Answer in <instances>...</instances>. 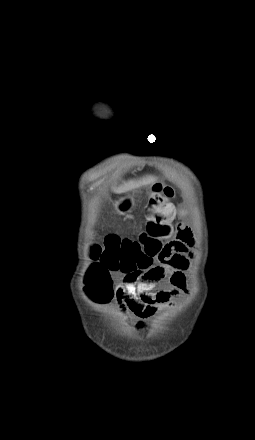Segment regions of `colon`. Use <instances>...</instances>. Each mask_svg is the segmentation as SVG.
<instances>
[{
  "instance_id": "5ec220e1",
  "label": "colon",
  "mask_w": 255,
  "mask_h": 440,
  "mask_svg": "<svg viewBox=\"0 0 255 440\" xmlns=\"http://www.w3.org/2000/svg\"><path fill=\"white\" fill-rule=\"evenodd\" d=\"M174 191L171 187L154 186L145 206V228L136 238L107 235L101 244L94 245L90 257L97 260L85 281L87 294L95 301L107 302L110 281L108 272L130 273L151 267L166 253L163 239L172 232L175 208L170 202Z\"/></svg>"
}]
</instances>
